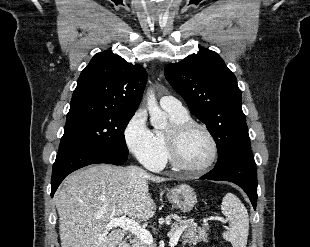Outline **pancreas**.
Listing matches in <instances>:
<instances>
[{
  "instance_id": "1",
  "label": "pancreas",
  "mask_w": 310,
  "mask_h": 247,
  "mask_svg": "<svg viewBox=\"0 0 310 247\" xmlns=\"http://www.w3.org/2000/svg\"><path fill=\"white\" fill-rule=\"evenodd\" d=\"M178 228H182V244L194 245L200 241L207 242V227L197 228V225L191 221L175 223L173 225L172 233ZM131 247H150L149 245L142 242L137 236L131 241Z\"/></svg>"
}]
</instances>
